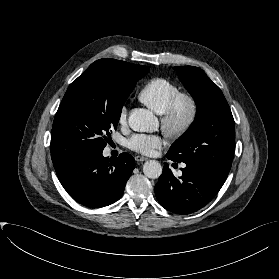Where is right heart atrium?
<instances>
[{"instance_id":"obj_1","label":"right heart atrium","mask_w":279,"mask_h":279,"mask_svg":"<svg viewBox=\"0 0 279 279\" xmlns=\"http://www.w3.org/2000/svg\"><path fill=\"white\" fill-rule=\"evenodd\" d=\"M127 117H128V110L126 107H123L120 110L118 121L120 124L125 125L127 123Z\"/></svg>"}]
</instances>
